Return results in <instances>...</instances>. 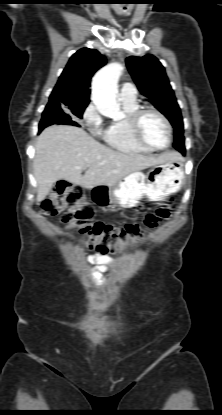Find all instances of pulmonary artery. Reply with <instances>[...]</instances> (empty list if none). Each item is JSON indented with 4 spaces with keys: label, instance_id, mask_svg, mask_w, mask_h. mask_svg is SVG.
Listing matches in <instances>:
<instances>
[{
    "label": "pulmonary artery",
    "instance_id": "pulmonary-artery-1",
    "mask_svg": "<svg viewBox=\"0 0 222 415\" xmlns=\"http://www.w3.org/2000/svg\"><path fill=\"white\" fill-rule=\"evenodd\" d=\"M136 88L133 84L131 83H123L121 86V90H120V99L121 100H126V101H130V100H134L136 98Z\"/></svg>",
    "mask_w": 222,
    "mask_h": 415
}]
</instances>
